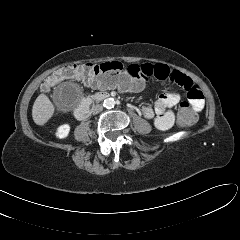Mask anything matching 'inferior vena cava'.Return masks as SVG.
<instances>
[{
  "instance_id": "obj_1",
  "label": "inferior vena cava",
  "mask_w": 240,
  "mask_h": 240,
  "mask_svg": "<svg viewBox=\"0 0 240 240\" xmlns=\"http://www.w3.org/2000/svg\"><path fill=\"white\" fill-rule=\"evenodd\" d=\"M102 109H103L102 105L98 104V105H95V106L92 107L91 112L93 114H98L99 112L102 111Z\"/></svg>"
}]
</instances>
